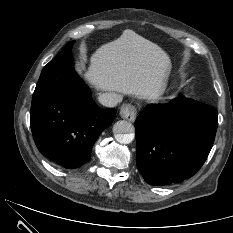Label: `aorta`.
<instances>
[{
  "label": "aorta",
  "mask_w": 233,
  "mask_h": 233,
  "mask_svg": "<svg viewBox=\"0 0 233 233\" xmlns=\"http://www.w3.org/2000/svg\"><path fill=\"white\" fill-rule=\"evenodd\" d=\"M113 132L115 133L116 141L121 144H129L134 139V126L128 121H117L113 125Z\"/></svg>",
  "instance_id": "aorta-1"
}]
</instances>
